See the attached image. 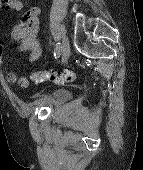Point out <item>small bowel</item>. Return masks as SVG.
<instances>
[{"label":"small bowel","instance_id":"1","mask_svg":"<svg viewBox=\"0 0 143 170\" xmlns=\"http://www.w3.org/2000/svg\"><path fill=\"white\" fill-rule=\"evenodd\" d=\"M22 6L21 0H7L5 3L0 4L1 9L12 12H19L22 9ZM39 15L40 10L38 8L30 10L16 25H14L9 37L10 42L18 44L20 52L28 53V62L36 61L41 55V49L37 39L39 31ZM2 61L3 45L0 44V65L2 64ZM5 79L11 84L18 83L20 87H22V81H26L27 86L29 85L27 77L18 78L15 72H7L5 74Z\"/></svg>","mask_w":143,"mask_h":170}]
</instances>
